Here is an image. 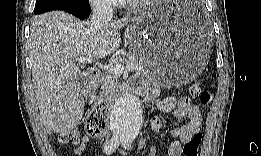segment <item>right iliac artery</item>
Masks as SVG:
<instances>
[{"label": "right iliac artery", "mask_w": 261, "mask_h": 156, "mask_svg": "<svg viewBox=\"0 0 261 156\" xmlns=\"http://www.w3.org/2000/svg\"><path fill=\"white\" fill-rule=\"evenodd\" d=\"M119 139H111L110 141H107L104 144V152L106 154H111L119 145H120Z\"/></svg>", "instance_id": "obj_1"}]
</instances>
